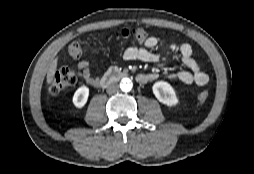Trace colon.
Listing matches in <instances>:
<instances>
[{
    "label": "colon",
    "mask_w": 254,
    "mask_h": 174,
    "mask_svg": "<svg viewBox=\"0 0 254 174\" xmlns=\"http://www.w3.org/2000/svg\"><path fill=\"white\" fill-rule=\"evenodd\" d=\"M113 38L117 41H132V42H145L149 38V32L142 27L124 28L119 31H115L110 35L103 33H94L84 39H78L73 41L68 48L69 54L74 58L81 57L85 52L86 41H100L105 38ZM79 75L76 71L69 68L58 69L49 84L48 92L51 96H56L67 88L75 85L78 81ZM209 97V91L204 89L199 92L197 100L200 103L205 102Z\"/></svg>",
    "instance_id": "1"
}]
</instances>
